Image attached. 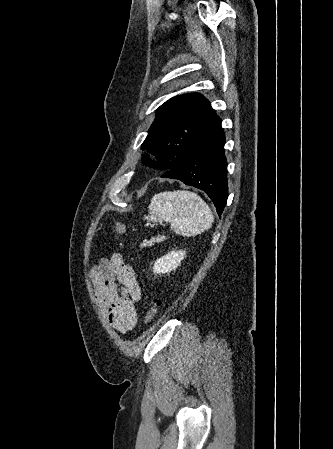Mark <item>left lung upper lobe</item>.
I'll return each instance as SVG.
<instances>
[{"instance_id": "left-lung-upper-lobe-1", "label": "left lung upper lobe", "mask_w": 333, "mask_h": 449, "mask_svg": "<svg viewBox=\"0 0 333 449\" xmlns=\"http://www.w3.org/2000/svg\"><path fill=\"white\" fill-rule=\"evenodd\" d=\"M212 110L199 93L176 96L162 104L141 147L161 161L153 167L165 172L179 167Z\"/></svg>"}]
</instances>
